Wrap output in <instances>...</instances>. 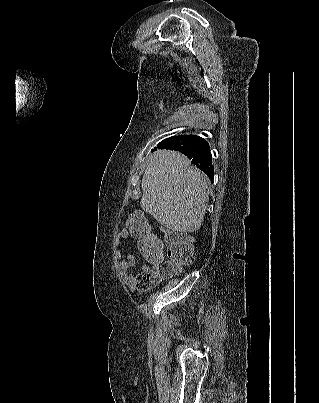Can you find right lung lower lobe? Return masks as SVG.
Segmentation results:
<instances>
[{"instance_id": "1", "label": "right lung lower lobe", "mask_w": 319, "mask_h": 403, "mask_svg": "<svg viewBox=\"0 0 319 403\" xmlns=\"http://www.w3.org/2000/svg\"><path fill=\"white\" fill-rule=\"evenodd\" d=\"M159 146L164 149L180 151L192 160V163L204 171L211 179L214 178L209 145L203 138L196 135L175 136L161 141Z\"/></svg>"}]
</instances>
